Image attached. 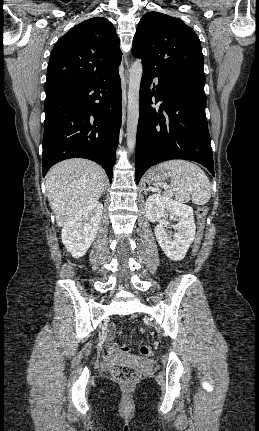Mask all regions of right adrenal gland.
Returning <instances> with one entry per match:
<instances>
[{"label":"right adrenal gland","instance_id":"2a0ac1e0","mask_svg":"<svg viewBox=\"0 0 259 431\" xmlns=\"http://www.w3.org/2000/svg\"><path fill=\"white\" fill-rule=\"evenodd\" d=\"M107 188L105 187L104 192H106Z\"/></svg>","mask_w":259,"mask_h":431}]
</instances>
